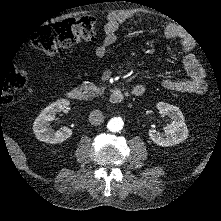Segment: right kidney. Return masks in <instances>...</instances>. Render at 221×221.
I'll return each mask as SVG.
<instances>
[{
	"label": "right kidney",
	"instance_id": "ca27d5eb",
	"mask_svg": "<svg viewBox=\"0 0 221 221\" xmlns=\"http://www.w3.org/2000/svg\"><path fill=\"white\" fill-rule=\"evenodd\" d=\"M69 105V100L59 99L42 110L33 123V131L38 140L56 144L65 141L72 135V130L66 126L57 131L50 127V122L55 119L56 114Z\"/></svg>",
	"mask_w": 221,
	"mask_h": 221
}]
</instances>
